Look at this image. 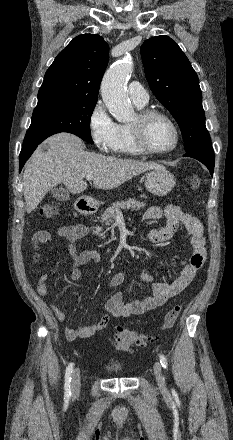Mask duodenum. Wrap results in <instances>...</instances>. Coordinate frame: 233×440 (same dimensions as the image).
<instances>
[{"instance_id": "duodenum-1", "label": "duodenum", "mask_w": 233, "mask_h": 440, "mask_svg": "<svg viewBox=\"0 0 233 440\" xmlns=\"http://www.w3.org/2000/svg\"><path fill=\"white\" fill-rule=\"evenodd\" d=\"M78 210L84 216H90L94 213V209L86 200H82L80 203H78Z\"/></svg>"}]
</instances>
